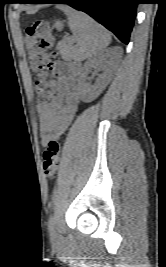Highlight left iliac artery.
Here are the masks:
<instances>
[{"label":"left iliac artery","mask_w":166,"mask_h":267,"mask_svg":"<svg viewBox=\"0 0 166 267\" xmlns=\"http://www.w3.org/2000/svg\"><path fill=\"white\" fill-rule=\"evenodd\" d=\"M55 226V218L53 216H50L49 221H48V227L52 231Z\"/></svg>","instance_id":"left-iliac-artery-1"}]
</instances>
